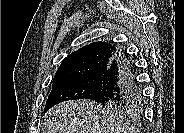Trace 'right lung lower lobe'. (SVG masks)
Instances as JSON below:
<instances>
[{
	"mask_svg": "<svg viewBox=\"0 0 184 133\" xmlns=\"http://www.w3.org/2000/svg\"><path fill=\"white\" fill-rule=\"evenodd\" d=\"M103 86L92 99L97 103L133 104L142 99L134 68L126 52L116 49L108 69L103 73Z\"/></svg>",
	"mask_w": 184,
	"mask_h": 133,
	"instance_id": "right-lung-lower-lobe-1",
	"label": "right lung lower lobe"
}]
</instances>
